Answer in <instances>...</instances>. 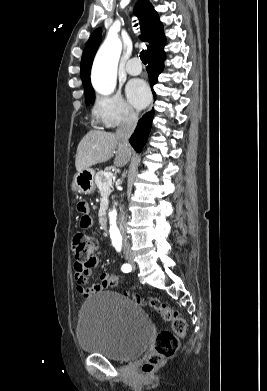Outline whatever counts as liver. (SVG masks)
Here are the masks:
<instances>
[{"label": "liver", "mask_w": 267, "mask_h": 391, "mask_svg": "<svg viewBox=\"0 0 267 391\" xmlns=\"http://www.w3.org/2000/svg\"><path fill=\"white\" fill-rule=\"evenodd\" d=\"M114 154V165L123 167L130 159L131 150H125L114 133L90 130L78 144L76 170L81 172L93 165L107 162Z\"/></svg>", "instance_id": "liver-1"}]
</instances>
